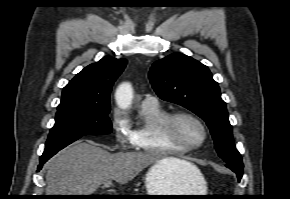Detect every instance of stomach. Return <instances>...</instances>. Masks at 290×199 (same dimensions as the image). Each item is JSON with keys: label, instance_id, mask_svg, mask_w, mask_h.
I'll use <instances>...</instances> for the list:
<instances>
[{"label": "stomach", "instance_id": "1", "mask_svg": "<svg viewBox=\"0 0 290 199\" xmlns=\"http://www.w3.org/2000/svg\"><path fill=\"white\" fill-rule=\"evenodd\" d=\"M147 195H206L207 187L201 172L173 173L163 163L153 164L145 174ZM165 199H194L186 197L154 196Z\"/></svg>", "mask_w": 290, "mask_h": 199}]
</instances>
